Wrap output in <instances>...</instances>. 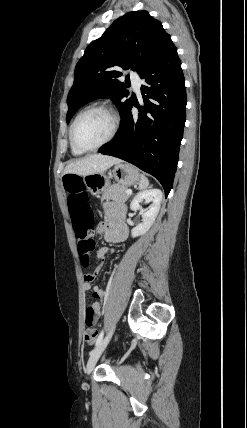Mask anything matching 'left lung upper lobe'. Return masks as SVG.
<instances>
[{
  "label": "left lung upper lobe",
  "mask_w": 247,
  "mask_h": 428,
  "mask_svg": "<svg viewBox=\"0 0 247 428\" xmlns=\"http://www.w3.org/2000/svg\"><path fill=\"white\" fill-rule=\"evenodd\" d=\"M174 47L161 22L147 11H132L118 18L88 45L77 63L66 122L81 106L97 98H110L122 114L130 99L125 100L129 91L116 79L122 75L117 69H132L141 75Z\"/></svg>",
  "instance_id": "left-lung-upper-lobe-1"
}]
</instances>
